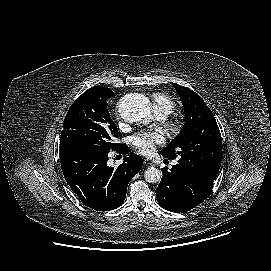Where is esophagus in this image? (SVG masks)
I'll return each mask as SVG.
<instances>
[{"label": "esophagus", "instance_id": "1", "mask_svg": "<svg viewBox=\"0 0 271 271\" xmlns=\"http://www.w3.org/2000/svg\"><path fill=\"white\" fill-rule=\"evenodd\" d=\"M143 164L145 166H152L153 165V163L149 159H143Z\"/></svg>", "mask_w": 271, "mask_h": 271}]
</instances>
